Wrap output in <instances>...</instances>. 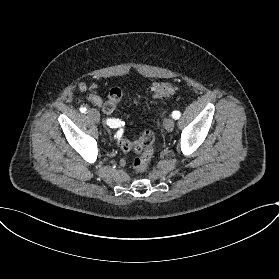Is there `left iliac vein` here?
I'll list each match as a JSON object with an SVG mask.
<instances>
[{
  "mask_svg": "<svg viewBox=\"0 0 279 279\" xmlns=\"http://www.w3.org/2000/svg\"><path fill=\"white\" fill-rule=\"evenodd\" d=\"M165 128L168 132H172L174 129V122L171 119L165 121Z\"/></svg>",
  "mask_w": 279,
  "mask_h": 279,
  "instance_id": "4c4485c4",
  "label": "left iliac vein"
}]
</instances>
